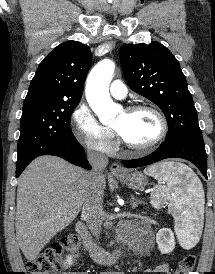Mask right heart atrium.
Listing matches in <instances>:
<instances>
[{
	"label": "right heart atrium",
	"mask_w": 215,
	"mask_h": 274,
	"mask_svg": "<svg viewBox=\"0 0 215 274\" xmlns=\"http://www.w3.org/2000/svg\"><path fill=\"white\" fill-rule=\"evenodd\" d=\"M72 131L88 150L109 154L115 149L113 131L102 125L85 103H79L71 116Z\"/></svg>",
	"instance_id": "right-heart-atrium-1"
}]
</instances>
